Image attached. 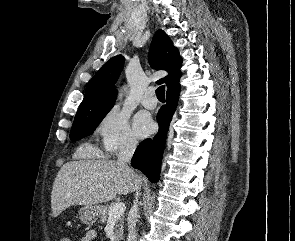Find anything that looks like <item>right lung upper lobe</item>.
Listing matches in <instances>:
<instances>
[{
  "mask_svg": "<svg viewBox=\"0 0 295 241\" xmlns=\"http://www.w3.org/2000/svg\"><path fill=\"white\" fill-rule=\"evenodd\" d=\"M149 62L152 68L166 70L170 73L160 79L158 83H165L167 87L179 83L182 58L163 30H158L154 35L149 51ZM123 65L124 57L122 55H117L107 61L88 83L84 99L78 110L114 103L117 94L114 84Z\"/></svg>",
  "mask_w": 295,
  "mask_h": 241,
  "instance_id": "obj_1",
  "label": "right lung upper lobe"
}]
</instances>
